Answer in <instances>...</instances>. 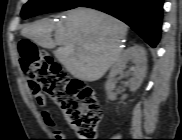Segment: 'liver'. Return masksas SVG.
Listing matches in <instances>:
<instances>
[{
    "label": "liver",
    "instance_id": "1",
    "mask_svg": "<svg viewBox=\"0 0 182 140\" xmlns=\"http://www.w3.org/2000/svg\"><path fill=\"white\" fill-rule=\"evenodd\" d=\"M65 23L55 26L42 19L24 27L21 34L53 51L58 61L75 78L96 81L121 57V41L127 25L95 9L78 7L66 13ZM55 31V40L52 39Z\"/></svg>",
    "mask_w": 182,
    "mask_h": 140
}]
</instances>
